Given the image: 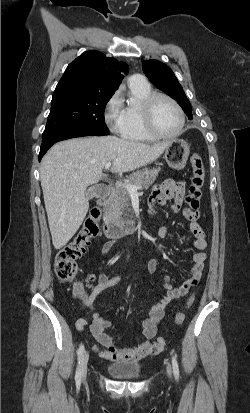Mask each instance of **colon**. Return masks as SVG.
<instances>
[{
    "label": "colon",
    "mask_w": 250,
    "mask_h": 413,
    "mask_svg": "<svg viewBox=\"0 0 250 413\" xmlns=\"http://www.w3.org/2000/svg\"><path fill=\"white\" fill-rule=\"evenodd\" d=\"M191 164L193 174L191 177L190 188L185 200L190 208L197 209L200 204L202 187L204 185L205 169L202 158L198 154H193L191 156ZM100 217V209L93 208L73 239L57 252L55 257V271L59 279L64 281H72L79 275L80 268L77 260L84 254L91 239L98 235ZM76 293L79 296L83 295L81 285L76 286ZM193 300L194 294L189 297L186 303V308L190 307ZM184 320L185 313L179 312L176 314L175 323L177 325H181ZM154 344L157 349L163 350L166 345V341L164 338L159 337Z\"/></svg>",
    "instance_id": "5ec220e1"
}]
</instances>
